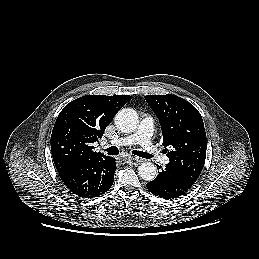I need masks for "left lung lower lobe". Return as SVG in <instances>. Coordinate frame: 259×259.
Wrapping results in <instances>:
<instances>
[{
	"mask_svg": "<svg viewBox=\"0 0 259 259\" xmlns=\"http://www.w3.org/2000/svg\"><path fill=\"white\" fill-rule=\"evenodd\" d=\"M193 184L194 182L189 178L183 176L170 165H166L165 169L159 172L158 176L146 186L155 196L168 200L184 195Z\"/></svg>",
	"mask_w": 259,
	"mask_h": 259,
	"instance_id": "1",
	"label": "left lung lower lobe"
}]
</instances>
